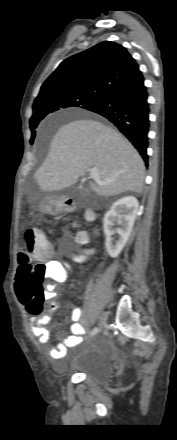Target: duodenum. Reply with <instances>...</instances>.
<instances>
[{
	"label": "duodenum",
	"instance_id": "duodenum-1",
	"mask_svg": "<svg viewBox=\"0 0 177 440\" xmlns=\"http://www.w3.org/2000/svg\"><path fill=\"white\" fill-rule=\"evenodd\" d=\"M75 204L71 199H60L57 205V211L59 212H71L75 210Z\"/></svg>",
	"mask_w": 177,
	"mask_h": 440
}]
</instances>
